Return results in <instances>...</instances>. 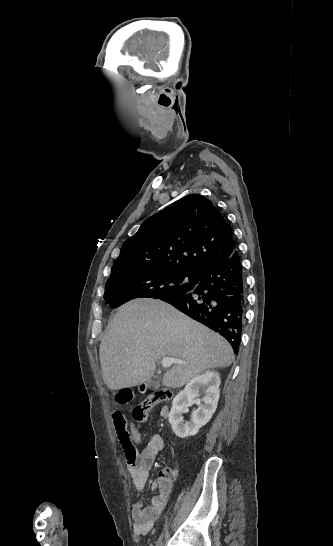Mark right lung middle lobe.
<instances>
[{
    "label": "right lung middle lobe",
    "mask_w": 333,
    "mask_h": 546,
    "mask_svg": "<svg viewBox=\"0 0 333 546\" xmlns=\"http://www.w3.org/2000/svg\"><path fill=\"white\" fill-rule=\"evenodd\" d=\"M186 277L189 283H183ZM196 279L197 276L184 273L121 267L111 270L104 299L115 308L138 297L160 299L168 295L186 294L193 289Z\"/></svg>",
    "instance_id": "dd1d6c3e"
}]
</instances>
